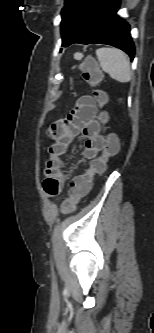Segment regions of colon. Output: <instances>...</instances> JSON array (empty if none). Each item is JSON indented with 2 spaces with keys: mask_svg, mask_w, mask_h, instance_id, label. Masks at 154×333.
Instances as JSON below:
<instances>
[{
  "mask_svg": "<svg viewBox=\"0 0 154 333\" xmlns=\"http://www.w3.org/2000/svg\"><path fill=\"white\" fill-rule=\"evenodd\" d=\"M82 79L93 87L91 95L99 107L107 102L106 93L97 88L102 80V73L92 57L86 58L80 65ZM100 124L105 128L108 122V115L105 111L98 114ZM119 141L114 133H107L103 153L100 157L90 162L88 169L81 175L76 176L69 188V195L61 203V211L65 214L72 213L78 202L90 191L93 179L96 175L102 174L107 166L109 159L117 154Z\"/></svg>",
  "mask_w": 154,
  "mask_h": 333,
  "instance_id": "1",
  "label": "colon"
}]
</instances>
